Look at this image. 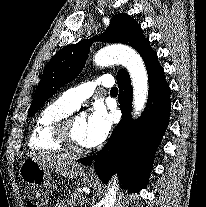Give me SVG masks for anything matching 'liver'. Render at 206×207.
<instances>
[{"label": "liver", "instance_id": "6515ba94", "mask_svg": "<svg viewBox=\"0 0 206 207\" xmlns=\"http://www.w3.org/2000/svg\"><path fill=\"white\" fill-rule=\"evenodd\" d=\"M30 158L34 159L42 166L67 178H77L78 176H81L84 171L82 165L69 160L65 156L57 154L38 153L30 155Z\"/></svg>", "mask_w": 206, "mask_h": 207}]
</instances>
